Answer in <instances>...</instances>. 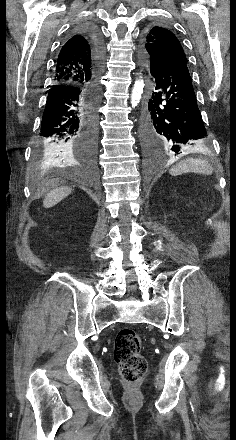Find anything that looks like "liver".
<instances>
[{
	"label": "liver",
	"mask_w": 236,
	"mask_h": 440,
	"mask_svg": "<svg viewBox=\"0 0 236 440\" xmlns=\"http://www.w3.org/2000/svg\"><path fill=\"white\" fill-rule=\"evenodd\" d=\"M72 189L69 187H57L51 190L44 198L43 206L44 208H51L62 201L71 193Z\"/></svg>",
	"instance_id": "1"
}]
</instances>
